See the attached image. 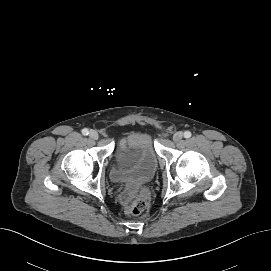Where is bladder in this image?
<instances>
[{
  "label": "bladder",
  "mask_w": 271,
  "mask_h": 271,
  "mask_svg": "<svg viewBox=\"0 0 271 271\" xmlns=\"http://www.w3.org/2000/svg\"><path fill=\"white\" fill-rule=\"evenodd\" d=\"M125 141L136 149L137 156L123 169L115 167L114 180L129 194H133L155 175L158 164L157 153L151 137L145 131L132 132Z\"/></svg>",
  "instance_id": "31cf9c89"
}]
</instances>
